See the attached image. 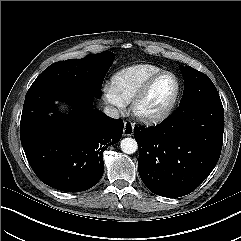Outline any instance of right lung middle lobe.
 I'll list each match as a JSON object with an SVG mask.
<instances>
[{
  "label": "right lung middle lobe",
  "mask_w": 241,
  "mask_h": 241,
  "mask_svg": "<svg viewBox=\"0 0 241 241\" xmlns=\"http://www.w3.org/2000/svg\"><path fill=\"white\" fill-rule=\"evenodd\" d=\"M114 58L105 51L82 59H69L51 64L33 82L38 86L51 81L66 80L79 84L93 96L101 97V86Z\"/></svg>",
  "instance_id": "right-lung-middle-lobe-1"
}]
</instances>
